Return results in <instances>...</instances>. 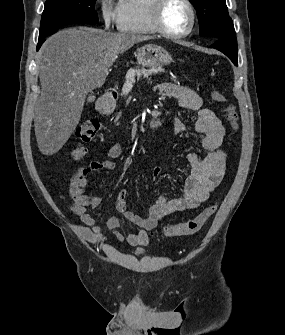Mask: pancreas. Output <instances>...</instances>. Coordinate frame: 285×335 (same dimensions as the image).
Segmentation results:
<instances>
[{
  "instance_id": "pancreas-1",
  "label": "pancreas",
  "mask_w": 285,
  "mask_h": 335,
  "mask_svg": "<svg viewBox=\"0 0 285 335\" xmlns=\"http://www.w3.org/2000/svg\"><path fill=\"white\" fill-rule=\"evenodd\" d=\"M158 72H163L162 66H152L149 70H144V68H142V70L128 71L125 76L126 80L122 85V91L128 93L130 90H135L136 84L140 82L139 78L145 76V79L150 81L155 74H158Z\"/></svg>"
}]
</instances>
